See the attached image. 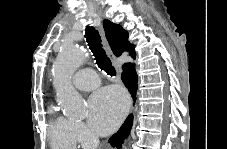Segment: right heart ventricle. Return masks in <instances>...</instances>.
Wrapping results in <instances>:
<instances>
[{"label":"right heart ventricle","mask_w":227,"mask_h":149,"mask_svg":"<svg viewBox=\"0 0 227 149\" xmlns=\"http://www.w3.org/2000/svg\"><path fill=\"white\" fill-rule=\"evenodd\" d=\"M49 137L52 146L71 149L76 145L72 131V121L59 115L54 107H49Z\"/></svg>","instance_id":"right-heart-ventricle-1"}]
</instances>
